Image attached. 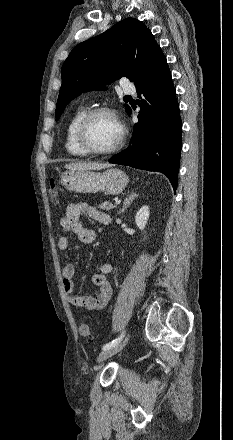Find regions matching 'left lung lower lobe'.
<instances>
[{"label":"left lung lower lobe","instance_id":"obj_1","mask_svg":"<svg viewBox=\"0 0 233 440\" xmlns=\"http://www.w3.org/2000/svg\"><path fill=\"white\" fill-rule=\"evenodd\" d=\"M134 84L140 98L138 123L134 125L130 145L109 162L162 172L176 190L182 122L176 90L162 51Z\"/></svg>","mask_w":233,"mask_h":440}]
</instances>
